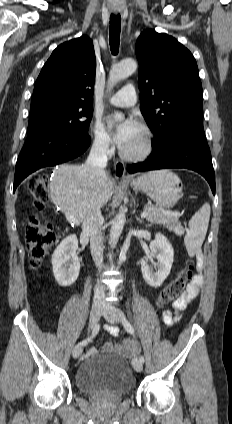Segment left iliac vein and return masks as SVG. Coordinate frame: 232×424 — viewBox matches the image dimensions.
Returning <instances> with one entry per match:
<instances>
[{
	"mask_svg": "<svg viewBox=\"0 0 232 424\" xmlns=\"http://www.w3.org/2000/svg\"><path fill=\"white\" fill-rule=\"evenodd\" d=\"M102 315L110 323H121L125 319L123 312L114 307L104 308ZM132 365L137 372H141L143 369V364L138 359H133Z\"/></svg>",
	"mask_w": 232,
	"mask_h": 424,
	"instance_id": "4c4485c4",
	"label": "left iliac vein"
}]
</instances>
